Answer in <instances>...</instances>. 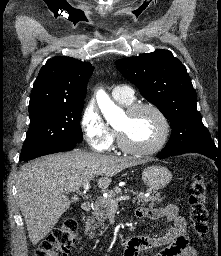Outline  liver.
<instances>
[{
	"label": "liver",
	"instance_id": "6515ba94",
	"mask_svg": "<svg viewBox=\"0 0 221 256\" xmlns=\"http://www.w3.org/2000/svg\"><path fill=\"white\" fill-rule=\"evenodd\" d=\"M144 162L74 150L23 165L16 180L17 199L32 244L46 237L70 207L66 193L77 190L95 175L103 176L98 186L106 189L113 175Z\"/></svg>",
	"mask_w": 221,
	"mask_h": 256
}]
</instances>
